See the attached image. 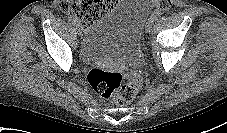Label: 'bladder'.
<instances>
[{"mask_svg": "<svg viewBox=\"0 0 227 133\" xmlns=\"http://www.w3.org/2000/svg\"><path fill=\"white\" fill-rule=\"evenodd\" d=\"M151 8V0H120L85 31L80 59L84 63L109 61L137 66L142 59V29Z\"/></svg>", "mask_w": 227, "mask_h": 133, "instance_id": "bladder-1", "label": "bladder"}]
</instances>
